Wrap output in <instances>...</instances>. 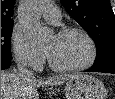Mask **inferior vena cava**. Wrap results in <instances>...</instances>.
<instances>
[{
    "instance_id": "1",
    "label": "inferior vena cava",
    "mask_w": 115,
    "mask_h": 99,
    "mask_svg": "<svg viewBox=\"0 0 115 99\" xmlns=\"http://www.w3.org/2000/svg\"><path fill=\"white\" fill-rule=\"evenodd\" d=\"M18 75L22 79L32 78L33 72L27 69V64L19 62L18 63Z\"/></svg>"
}]
</instances>
